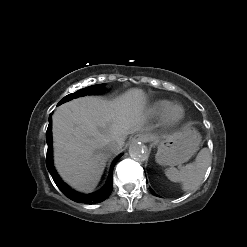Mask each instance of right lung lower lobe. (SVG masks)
I'll return each instance as SVG.
<instances>
[{
    "mask_svg": "<svg viewBox=\"0 0 247 247\" xmlns=\"http://www.w3.org/2000/svg\"><path fill=\"white\" fill-rule=\"evenodd\" d=\"M61 103L59 102L58 105H60ZM51 116L52 114H50L49 116V125H48V129L46 132V142L48 144V150H47V157H46V165H47V169L50 172L55 184L57 185V187L71 200L75 201V202H80V203H87V204H94L97 202H102L103 200L107 199L109 197V195L112 192V172H113V167L116 164L117 160L121 157V155H119L112 163L111 166V170H110V174H109V178L107 183L105 184V186L95 192V193H91V194H81L78 193L76 191H74L73 189H71L67 184H65L61 178L58 176L57 172L54 169L53 166V159H52V132H51V127H52V120H51Z\"/></svg>",
    "mask_w": 247,
    "mask_h": 247,
    "instance_id": "1",
    "label": "right lung lower lobe"
}]
</instances>
